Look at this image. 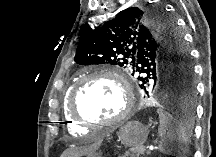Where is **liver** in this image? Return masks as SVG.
I'll return each mask as SVG.
<instances>
[{"instance_id": "6515ba94", "label": "liver", "mask_w": 216, "mask_h": 157, "mask_svg": "<svg viewBox=\"0 0 216 157\" xmlns=\"http://www.w3.org/2000/svg\"><path fill=\"white\" fill-rule=\"evenodd\" d=\"M102 141V137H97L94 140V144L88 147L70 148L64 151L61 157H79L82 155H91L100 147Z\"/></svg>"}]
</instances>
